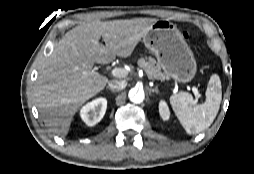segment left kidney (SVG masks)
<instances>
[{"label": "left kidney", "instance_id": "1", "mask_svg": "<svg viewBox=\"0 0 254 174\" xmlns=\"http://www.w3.org/2000/svg\"><path fill=\"white\" fill-rule=\"evenodd\" d=\"M159 113L163 120H168L170 117V110L165 101H160L159 103Z\"/></svg>", "mask_w": 254, "mask_h": 174}]
</instances>
